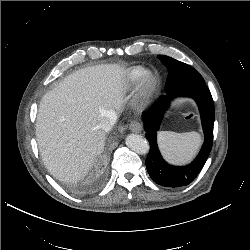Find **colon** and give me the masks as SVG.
Segmentation results:
<instances>
[{
	"mask_svg": "<svg viewBox=\"0 0 250 250\" xmlns=\"http://www.w3.org/2000/svg\"><path fill=\"white\" fill-rule=\"evenodd\" d=\"M193 117H194V114H193V113H190V112H189V113L186 114V118H187V119H193Z\"/></svg>",
	"mask_w": 250,
	"mask_h": 250,
	"instance_id": "1",
	"label": "colon"
}]
</instances>
